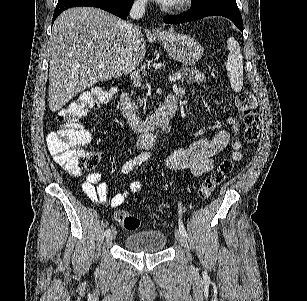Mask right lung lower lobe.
Returning <instances> with one entry per match:
<instances>
[{
	"mask_svg": "<svg viewBox=\"0 0 307 301\" xmlns=\"http://www.w3.org/2000/svg\"><path fill=\"white\" fill-rule=\"evenodd\" d=\"M133 0H58L53 21L60 13L71 7L93 6L106 10L122 19H126Z\"/></svg>",
	"mask_w": 307,
	"mask_h": 301,
	"instance_id": "obj_1",
	"label": "right lung lower lobe"
}]
</instances>
